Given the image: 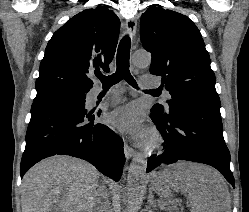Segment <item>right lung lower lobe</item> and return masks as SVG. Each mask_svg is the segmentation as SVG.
I'll return each mask as SVG.
<instances>
[{
    "label": "right lung lower lobe",
    "mask_w": 249,
    "mask_h": 212,
    "mask_svg": "<svg viewBox=\"0 0 249 212\" xmlns=\"http://www.w3.org/2000/svg\"><path fill=\"white\" fill-rule=\"evenodd\" d=\"M101 113V109L89 111L85 103L33 102L21 177L40 160L64 154L87 160L119 181L125 161L123 141L109 127L97 123Z\"/></svg>",
    "instance_id": "right-lung-lower-lobe-1"
}]
</instances>
